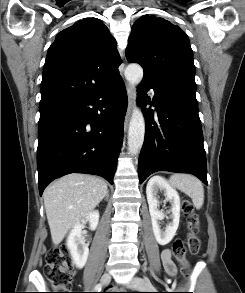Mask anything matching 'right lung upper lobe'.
Returning a JSON list of instances; mask_svg holds the SVG:
<instances>
[{
  "label": "right lung upper lobe",
  "mask_w": 245,
  "mask_h": 293,
  "mask_svg": "<svg viewBox=\"0 0 245 293\" xmlns=\"http://www.w3.org/2000/svg\"><path fill=\"white\" fill-rule=\"evenodd\" d=\"M116 42L97 18H86L57 34L49 47L40 108L80 100L119 76Z\"/></svg>",
  "instance_id": "1"
}]
</instances>
